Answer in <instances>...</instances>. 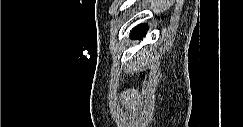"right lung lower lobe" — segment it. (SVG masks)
I'll return each mask as SVG.
<instances>
[{
	"label": "right lung lower lobe",
	"instance_id": "obj_1",
	"mask_svg": "<svg viewBox=\"0 0 243 127\" xmlns=\"http://www.w3.org/2000/svg\"><path fill=\"white\" fill-rule=\"evenodd\" d=\"M147 29L148 27L146 24H140L132 30L131 37L142 38L146 34Z\"/></svg>",
	"mask_w": 243,
	"mask_h": 127
}]
</instances>
